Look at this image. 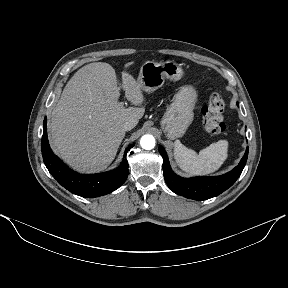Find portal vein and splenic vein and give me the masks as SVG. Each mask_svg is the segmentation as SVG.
<instances>
[{"label": "portal vein and splenic vein", "mask_w": 288, "mask_h": 288, "mask_svg": "<svg viewBox=\"0 0 288 288\" xmlns=\"http://www.w3.org/2000/svg\"><path fill=\"white\" fill-rule=\"evenodd\" d=\"M123 104H124L123 102H120V103H119L120 106H123Z\"/></svg>", "instance_id": "obj_1"}]
</instances>
